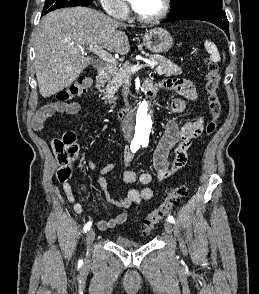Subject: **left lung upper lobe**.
I'll list each match as a JSON object with an SVG mask.
<instances>
[{
  "instance_id": "left-lung-upper-lobe-1",
  "label": "left lung upper lobe",
  "mask_w": 259,
  "mask_h": 294,
  "mask_svg": "<svg viewBox=\"0 0 259 294\" xmlns=\"http://www.w3.org/2000/svg\"><path fill=\"white\" fill-rule=\"evenodd\" d=\"M205 7L222 9V0H172V12L169 17Z\"/></svg>"
}]
</instances>
